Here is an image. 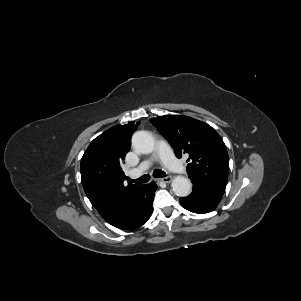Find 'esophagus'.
<instances>
[{
	"label": "esophagus",
	"instance_id": "esophagus-1",
	"mask_svg": "<svg viewBox=\"0 0 301 301\" xmlns=\"http://www.w3.org/2000/svg\"><path fill=\"white\" fill-rule=\"evenodd\" d=\"M159 181L164 182V183H170L172 181V178L170 176L161 178Z\"/></svg>",
	"mask_w": 301,
	"mask_h": 301
}]
</instances>
